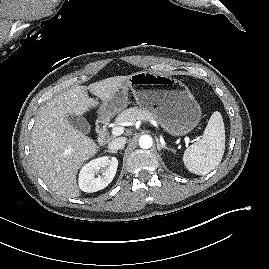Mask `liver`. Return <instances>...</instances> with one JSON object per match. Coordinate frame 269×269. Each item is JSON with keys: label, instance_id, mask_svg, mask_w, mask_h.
<instances>
[{"label": "liver", "instance_id": "6515ba94", "mask_svg": "<svg viewBox=\"0 0 269 269\" xmlns=\"http://www.w3.org/2000/svg\"><path fill=\"white\" fill-rule=\"evenodd\" d=\"M129 76H114L76 86L47 102L38 113L32 130L31 155L34 168L57 195L79 197L76 183L79 168L98 151L97 143L74 128L68 114L82 116L98 102L89 98L88 90L101 99H110Z\"/></svg>", "mask_w": 269, "mask_h": 269}]
</instances>
